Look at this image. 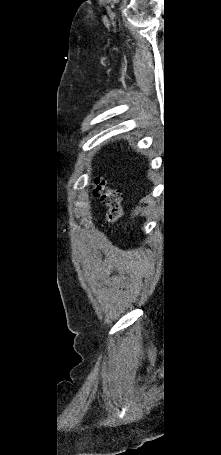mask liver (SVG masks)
Segmentation results:
<instances>
[{"mask_svg":"<svg viewBox=\"0 0 221 455\" xmlns=\"http://www.w3.org/2000/svg\"><path fill=\"white\" fill-rule=\"evenodd\" d=\"M141 211H142V208H141V207H136L135 210H134L133 213H132V216L138 215V213L141 212Z\"/></svg>","mask_w":221,"mask_h":455,"instance_id":"obj_1","label":"liver"}]
</instances>
